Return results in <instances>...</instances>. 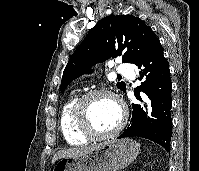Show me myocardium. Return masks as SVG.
Here are the masks:
<instances>
[{
    "mask_svg": "<svg viewBox=\"0 0 199 171\" xmlns=\"http://www.w3.org/2000/svg\"><path fill=\"white\" fill-rule=\"evenodd\" d=\"M99 96H107L114 100L118 104L121 113L117 126L104 133L97 132L93 129L89 117L90 101ZM74 117L76 126L81 134L90 139H107L118 135L124 129L128 120V109L124 101L112 91L105 88L94 89L86 92L78 99L74 109Z\"/></svg>",
    "mask_w": 199,
    "mask_h": 171,
    "instance_id": "1",
    "label": "myocardium"
}]
</instances>
